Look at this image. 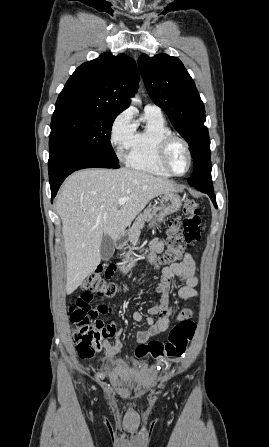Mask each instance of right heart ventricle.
<instances>
[{"label":"right heart ventricle","instance_id":"obj_1","mask_svg":"<svg viewBox=\"0 0 269 447\" xmlns=\"http://www.w3.org/2000/svg\"><path fill=\"white\" fill-rule=\"evenodd\" d=\"M142 119V127L134 131L126 163L135 169L169 177L172 174L161 163L159 148L161 141L173 131L162 115L145 110Z\"/></svg>","mask_w":269,"mask_h":447}]
</instances>
